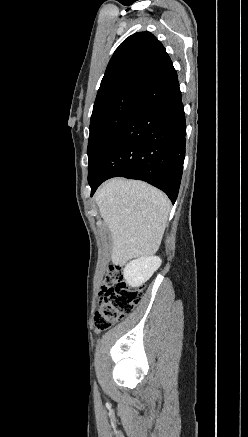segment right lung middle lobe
I'll return each instance as SVG.
<instances>
[{
	"instance_id": "obj_1",
	"label": "right lung middle lobe",
	"mask_w": 248,
	"mask_h": 437,
	"mask_svg": "<svg viewBox=\"0 0 248 437\" xmlns=\"http://www.w3.org/2000/svg\"><path fill=\"white\" fill-rule=\"evenodd\" d=\"M139 93L138 91L122 93L93 109L87 149L88 171L102 148L124 120Z\"/></svg>"
}]
</instances>
